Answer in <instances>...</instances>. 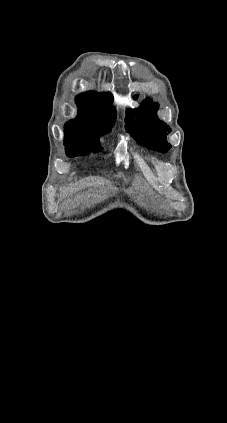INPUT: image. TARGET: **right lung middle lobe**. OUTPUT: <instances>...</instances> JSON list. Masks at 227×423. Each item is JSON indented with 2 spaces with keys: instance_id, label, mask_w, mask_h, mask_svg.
Listing matches in <instances>:
<instances>
[{
  "instance_id": "right-lung-middle-lobe-1",
  "label": "right lung middle lobe",
  "mask_w": 227,
  "mask_h": 423,
  "mask_svg": "<svg viewBox=\"0 0 227 423\" xmlns=\"http://www.w3.org/2000/svg\"><path fill=\"white\" fill-rule=\"evenodd\" d=\"M66 154L69 157L86 155L89 151L100 148L99 140L90 142H65Z\"/></svg>"
}]
</instances>
